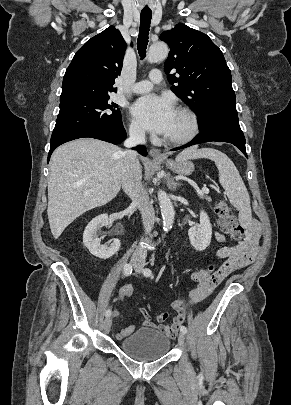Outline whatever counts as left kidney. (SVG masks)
I'll return each mask as SVG.
<instances>
[{
  "label": "left kidney",
  "mask_w": 291,
  "mask_h": 405,
  "mask_svg": "<svg viewBox=\"0 0 291 405\" xmlns=\"http://www.w3.org/2000/svg\"><path fill=\"white\" fill-rule=\"evenodd\" d=\"M191 245L198 251L205 250L211 242L212 226L206 212H200V224L188 230Z\"/></svg>",
  "instance_id": "5707ae66"
}]
</instances>
